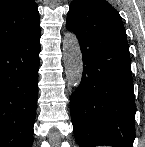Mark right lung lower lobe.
<instances>
[{
	"instance_id": "98d812e1",
	"label": "right lung lower lobe",
	"mask_w": 145,
	"mask_h": 147,
	"mask_svg": "<svg viewBox=\"0 0 145 147\" xmlns=\"http://www.w3.org/2000/svg\"><path fill=\"white\" fill-rule=\"evenodd\" d=\"M40 29L0 46V147H31Z\"/></svg>"
}]
</instances>
